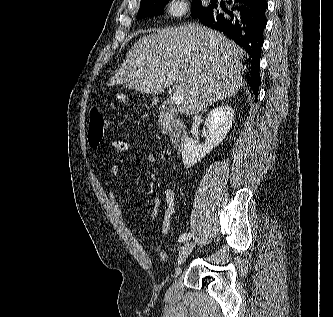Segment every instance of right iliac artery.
Here are the masks:
<instances>
[{"instance_id":"1","label":"right iliac artery","mask_w":333,"mask_h":317,"mask_svg":"<svg viewBox=\"0 0 333 317\" xmlns=\"http://www.w3.org/2000/svg\"><path fill=\"white\" fill-rule=\"evenodd\" d=\"M191 238L190 234L184 233L179 237V242H185Z\"/></svg>"}]
</instances>
